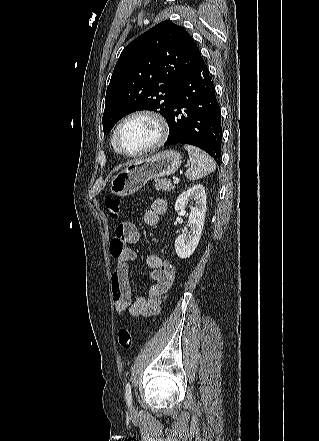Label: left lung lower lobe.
Listing matches in <instances>:
<instances>
[{
    "label": "left lung lower lobe",
    "mask_w": 319,
    "mask_h": 441,
    "mask_svg": "<svg viewBox=\"0 0 319 441\" xmlns=\"http://www.w3.org/2000/svg\"><path fill=\"white\" fill-rule=\"evenodd\" d=\"M167 123L169 136L165 146L191 144L220 163V109L209 70L202 58L177 87Z\"/></svg>",
    "instance_id": "left-lung-lower-lobe-1"
}]
</instances>
